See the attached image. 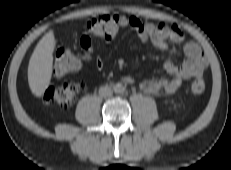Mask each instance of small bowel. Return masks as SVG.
Segmentation results:
<instances>
[{
    "label": "small bowel",
    "instance_id": "1",
    "mask_svg": "<svg viewBox=\"0 0 231 170\" xmlns=\"http://www.w3.org/2000/svg\"><path fill=\"white\" fill-rule=\"evenodd\" d=\"M129 27L134 29L139 38L144 42L151 43L155 48L166 51L169 48V42L181 43L183 41V31L180 26L173 24L168 26L161 22L158 24L142 23L136 17H129ZM110 40L111 38H105ZM81 47L89 54H93L92 39L89 35H84L80 39ZM186 59L181 65H177L172 60L164 63V68L172 77L167 78H149L140 83V88L147 94H166L176 93L184 81L200 76L207 66V61L199 48L194 42H187L183 46ZM97 64L101 65L102 60L97 58ZM124 82L132 84L135 82L133 76H125Z\"/></svg>",
    "mask_w": 231,
    "mask_h": 170
}]
</instances>
